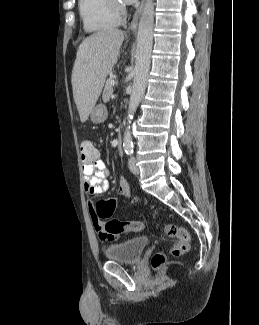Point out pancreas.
<instances>
[{
  "label": "pancreas",
  "mask_w": 259,
  "mask_h": 325,
  "mask_svg": "<svg viewBox=\"0 0 259 325\" xmlns=\"http://www.w3.org/2000/svg\"><path fill=\"white\" fill-rule=\"evenodd\" d=\"M112 78H108L102 94V99L104 102H108L113 93V86L111 85Z\"/></svg>",
  "instance_id": "1"
}]
</instances>
